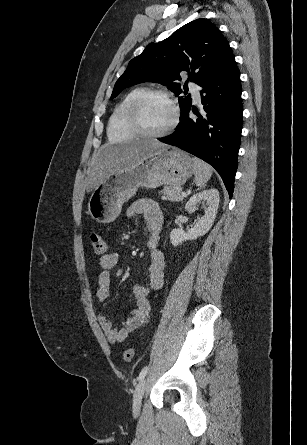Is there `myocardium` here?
<instances>
[{
  "mask_svg": "<svg viewBox=\"0 0 307 445\" xmlns=\"http://www.w3.org/2000/svg\"><path fill=\"white\" fill-rule=\"evenodd\" d=\"M152 98H160L167 101L173 110V118L170 124L161 132H151L149 131L143 121L141 116V111L144 104L152 99ZM180 113L178 107L174 100L167 93L160 90H147L145 91L132 105L130 111V118L132 126L136 132V134L140 135V139H162L168 136L170 133L174 131L179 121Z\"/></svg>",
  "mask_w": 307,
  "mask_h": 445,
  "instance_id": "myocardium-1",
  "label": "myocardium"
}]
</instances>
